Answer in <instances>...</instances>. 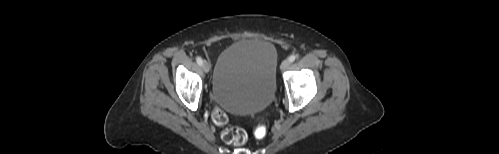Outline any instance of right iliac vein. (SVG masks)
<instances>
[{"instance_id":"63e3f726","label":"right iliac vein","mask_w":499,"mask_h":154,"mask_svg":"<svg viewBox=\"0 0 499 154\" xmlns=\"http://www.w3.org/2000/svg\"><path fill=\"white\" fill-rule=\"evenodd\" d=\"M202 68L205 73H208L210 71V65L206 60L203 61Z\"/></svg>"}]
</instances>
